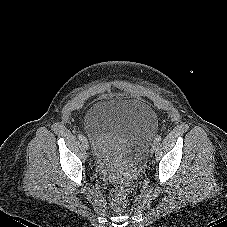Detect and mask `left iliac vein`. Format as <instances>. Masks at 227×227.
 <instances>
[{
  "mask_svg": "<svg viewBox=\"0 0 227 227\" xmlns=\"http://www.w3.org/2000/svg\"><path fill=\"white\" fill-rule=\"evenodd\" d=\"M157 146H158V143H157L156 141H154V142L152 143V145H151V152H152V153L156 150Z\"/></svg>",
  "mask_w": 227,
  "mask_h": 227,
  "instance_id": "left-iliac-vein-1",
  "label": "left iliac vein"
}]
</instances>
